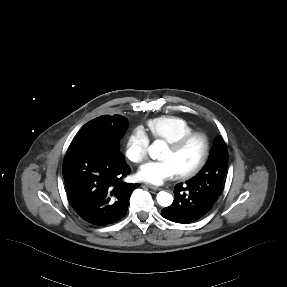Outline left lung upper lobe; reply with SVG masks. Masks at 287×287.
I'll return each mask as SVG.
<instances>
[{
    "mask_svg": "<svg viewBox=\"0 0 287 287\" xmlns=\"http://www.w3.org/2000/svg\"><path fill=\"white\" fill-rule=\"evenodd\" d=\"M228 164V153L226 145L221 136L214 141L209 160L199 174L189 182L198 185L205 192H213L217 187L221 191L225 172Z\"/></svg>",
    "mask_w": 287,
    "mask_h": 287,
    "instance_id": "5c2ea615",
    "label": "left lung upper lobe"
}]
</instances>
